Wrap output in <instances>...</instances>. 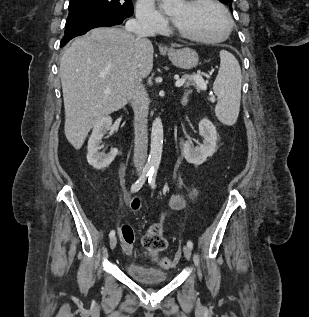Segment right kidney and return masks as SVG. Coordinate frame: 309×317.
Here are the masks:
<instances>
[{"instance_id":"right-kidney-1","label":"right kidney","mask_w":309,"mask_h":317,"mask_svg":"<svg viewBox=\"0 0 309 317\" xmlns=\"http://www.w3.org/2000/svg\"><path fill=\"white\" fill-rule=\"evenodd\" d=\"M112 119L110 117L102 118L93 128L88 141L87 161L89 165L97 170L107 168L118 154L116 148L112 149L108 154L100 152V144L103 136L110 129Z\"/></svg>"}]
</instances>
